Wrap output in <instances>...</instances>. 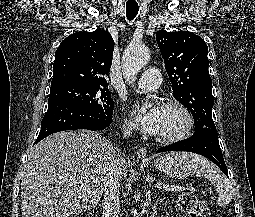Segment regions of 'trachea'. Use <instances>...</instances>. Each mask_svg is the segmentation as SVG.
Listing matches in <instances>:
<instances>
[{"label":"trachea","mask_w":255,"mask_h":217,"mask_svg":"<svg viewBox=\"0 0 255 217\" xmlns=\"http://www.w3.org/2000/svg\"><path fill=\"white\" fill-rule=\"evenodd\" d=\"M139 6L137 3H129L126 4V17L129 21H132L136 15L138 14Z\"/></svg>","instance_id":"trachea-1"}]
</instances>
